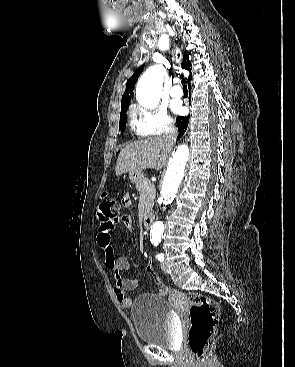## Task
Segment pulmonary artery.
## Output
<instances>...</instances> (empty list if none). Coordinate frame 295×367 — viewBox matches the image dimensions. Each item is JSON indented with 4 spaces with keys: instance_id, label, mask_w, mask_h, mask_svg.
Instances as JSON below:
<instances>
[{
    "instance_id": "e3ab8cb5",
    "label": "pulmonary artery",
    "mask_w": 295,
    "mask_h": 367,
    "mask_svg": "<svg viewBox=\"0 0 295 367\" xmlns=\"http://www.w3.org/2000/svg\"><path fill=\"white\" fill-rule=\"evenodd\" d=\"M170 95L173 97V98H180L182 97L183 95V92H182V89L180 88L179 85H175L171 88L170 90Z\"/></svg>"
}]
</instances>
